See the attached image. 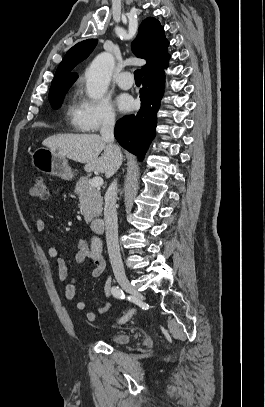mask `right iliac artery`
Returning <instances> with one entry per match:
<instances>
[{"instance_id":"82829eb1","label":"right iliac artery","mask_w":265,"mask_h":407,"mask_svg":"<svg viewBox=\"0 0 265 407\" xmlns=\"http://www.w3.org/2000/svg\"><path fill=\"white\" fill-rule=\"evenodd\" d=\"M112 294L117 299H124L125 298L123 290L120 289L119 287H113L112 288Z\"/></svg>"}]
</instances>
